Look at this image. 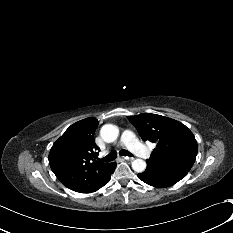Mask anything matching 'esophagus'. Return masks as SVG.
I'll use <instances>...</instances> for the list:
<instances>
[{"label": "esophagus", "mask_w": 233, "mask_h": 233, "mask_svg": "<svg viewBox=\"0 0 233 233\" xmlns=\"http://www.w3.org/2000/svg\"><path fill=\"white\" fill-rule=\"evenodd\" d=\"M125 160H128V161H133L134 160V157H124Z\"/></svg>", "instance_id": "34e87169"}]
</instances>
